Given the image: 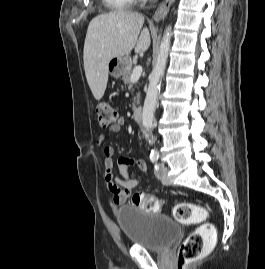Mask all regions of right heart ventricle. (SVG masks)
Returning <instances> with one entry per match:
<instances>
[{
	"label": "right heart ventricle",
	"instance_id": "right-heart-ventricle-1",
	"mask_svg": "<svg viewBox=\"0 0 265 269\" xmlns=\"http://www.w3.org/2000/svg\"><path fill=\"white\" fill-rule=\"evenodd\" d=\"M136 0H104L106 5L114 11L126 10L133 6Z\"/></svg>",
	"mask_w": 265,
	"mask_h": 269
}]
</instances>
